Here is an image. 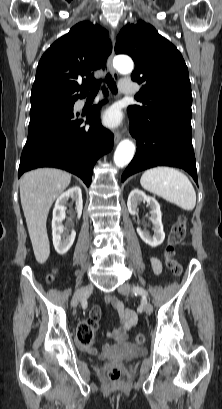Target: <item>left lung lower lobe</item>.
Here are the masks:
<instances>
[{
    "label": "left lung lower lobe",
    "instance_id": "obj_1",
    "mask_svg": "<svg viewBox=\"0 0 222 409\" xmlns=\"http://www.w3.org/2000/svg\"><path fill=\"white\" fill-rule=\"evenodd\" d=\"M128 115L137 151L121 181L148 168L172 166L187 171L198 184L191 119L173 111L148 117Z\"/></svg>",
    "mask_w": 222,
    "mask_h": 409
}]
</instances>
